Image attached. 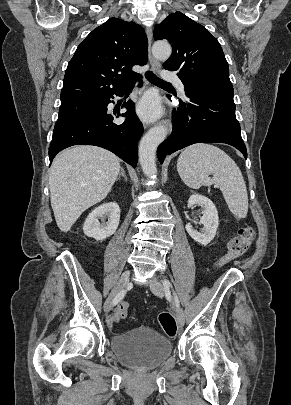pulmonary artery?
Masks as SVG:
<instances>
[{
	"label": "pulmonary artery",
	"instance_id": "pulmonary-artery-1",
	"mask_svg": "<svg viewBox=\"0 0 291 405\" xmlns=\"http://www.w3.org/2000/svg\"><path fill=\"white\" fill-rule=\"evenodd\" d=\"M161 78L163 80L175 83L177 88L179 89V91L181 93H184V84L182 83V81L179 79V77L175 73H173L171 71H166V70L162 71Z\"/></svg>",
	"mask_w": 291,
	"mask_h": 405
}]
</instances>
